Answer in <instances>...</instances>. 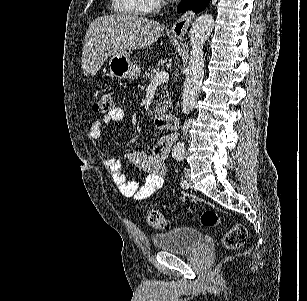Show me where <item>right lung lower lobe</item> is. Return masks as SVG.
I'll return each mask as SVG.
<instances>
[{
    "label": "right lung lower lobe",
    "mask_w": 307,
    "mask_h": 301,
    "mask_svg": "<svg viewBox=\"0 0 307 301\" xmlns=\"http://www.w3.org/2000/svg\"><path fill=\"white\" fill-rule=\"evenodd\" d=\"M209 2L210 0H184L178 5V12H185L187 10L200 12L207 7Z\"/></svg>",
    "instance_id": "1"
}]
</instances>
